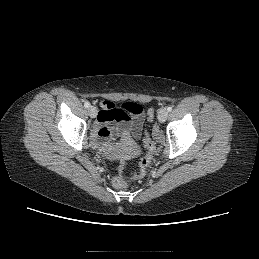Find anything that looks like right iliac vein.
<instances>
[{
  "instance_id": "63e3f726",
  "label": "right iliac vein",
  "mask_w": 259,
  "mask_h": 259,
  "mask_svg": "<svg viewBox=\"0 0 259 259\" xmlns=\"http://www.w3.org/2000/svg\"><path fill=\"white\" fill-rule=\"evenodd\" d=\"M88 113H89L91 118H95L96 115H97V108L95 106H90L88 108Z\"/></svg>"
}]
</instances>
